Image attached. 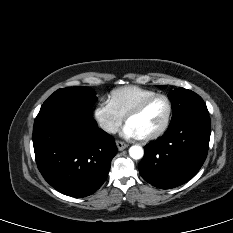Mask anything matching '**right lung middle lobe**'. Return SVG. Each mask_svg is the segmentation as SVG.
Instances as JSON below:
<instances>
[{"instance_id":"dd1d6c3e","label":"right lung middle lobe","mask_w":233,"mask_h":233,"mask_svg":"<svg viewBox=\"0 0 233 233\" xmlns=\"http://www.w3.org/2000/svg\"><path fill=\"white\" fill-rule=\"evenodd\" d=\"M96 101V92L89 87L62 88L48 97L41 106L39 114L51 110H69L92 116V107Z\"/></svg>"}]
</instances>
